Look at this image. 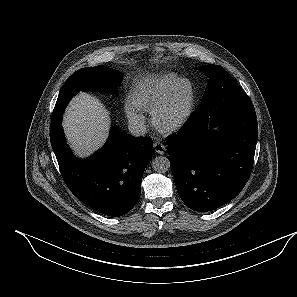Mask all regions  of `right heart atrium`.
Returning <instances> with one entry per match:
<instances>
[{
    "mask_svg": "<svg viewBox=\"0 0 297 297\" xmlns=\"http://www.w3.org/2000/svg\"><path fill=\"white\" fill-rule=\"evenodd\" d=\"M124 110L129 121L137 127L144 125V116L140 109L135 107L131 101H126L124 104Z\"/></svg>",
    "mask_w": 297,
    "mask_h": 297,
    "instance_id": "obj_1",
    "label": "right heart atrium"
}]
</instances>
